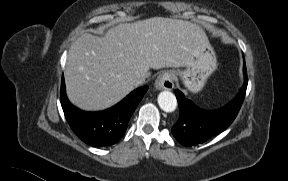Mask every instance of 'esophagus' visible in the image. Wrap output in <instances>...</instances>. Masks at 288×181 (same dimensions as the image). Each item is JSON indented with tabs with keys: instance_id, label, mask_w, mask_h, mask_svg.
<instances>
[{
	"instance_id": "34e87169",
	"label": "esophagus",
	"mask_w": 288,
	"mask_h": 181,
	"mask_svg": "<svg viewBox=\"0 0 288 181\" xmlns=\"http://www.w3.org/2000/svg\"><path fill=\"white\" fill-rule=\"evenodd\" d=\"M156 90H172L174 88V74L164 72L155 81Z\"/></svg>"
}]
</instances>
